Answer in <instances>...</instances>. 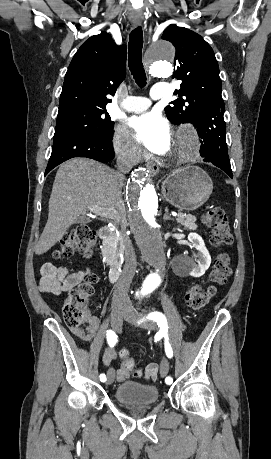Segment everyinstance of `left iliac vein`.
<instances>
[{
	"mask_svg": "<svg viewBox=\"0 0 271 459\" xmlns=\"http://www.w3.org/2000/svg\"><path fill=\"white\" fill-rule=\"evenodd\" d=\"M125 319L128 322L131 323H136L137 320H139L143 315L140 313H137L134 309H130L125 313ZM154 322L153 321H147L143 323L141 326L145 329H153L154 328ZM168 369H169V364L167 360H162L160 364V374L162 377L166 376L168 374Z\"/></svg>",
	"mask_w": 271,
	"mask_h": 459,
	"instance_id": "obj_1",
	"label": "left iliac vein"
}]
</instances>
